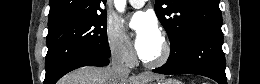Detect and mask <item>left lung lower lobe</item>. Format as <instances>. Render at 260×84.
Here are the masks:
<instances>
[{
  "label": "left lung lower lobe",
  "instance_id": "obj_1",
  "mask_svg": "<svg viewBox=\"0 0 260 84\" xmlns=\"http://www.w3.org/2000/svg\"><path fill=\"white\" fill-rule=\"evenodd\" d=\"M221 28H204L191 33L176 55L153 70L160 74H197L227 84Z\"/></svg>",
  "mask_w": 260,
  "mask_h": 84
}]
</instances>
